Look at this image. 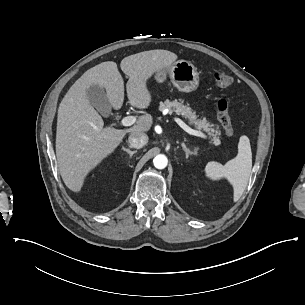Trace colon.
<instances>
[{
  "label": "colon",
  "instance_id": "obj_1",
  "mask_svg": "<svg viewBox=\"0 0 305 305\" xmlns=\"http://www.w3.org/2000/svg\"><path fill=\"white\" fill-rule=\"evenodd\" d=\"M213 81L218 88H228L232 84L230 74L225 70L220 69L214 71ZM216 114L224 133L231 138H236V132L230 117V107L226 100L217 102Z\"/></svg>",
  "mask_w": 305,
  "mask_h": 305
}]
</instances>
